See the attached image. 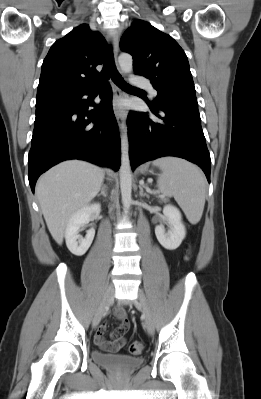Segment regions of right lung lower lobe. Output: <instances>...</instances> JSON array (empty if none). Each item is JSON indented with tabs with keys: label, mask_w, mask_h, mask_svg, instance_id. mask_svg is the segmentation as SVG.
Returning a JSON list of instances; mask_svg holds the SVG:
<instances>
[{
	"label": "right lung lower lobe",
	"mask_w": 261,
	"mask_h": 399,
	"mask_svg": "<svg viewBox=\"0 0 261 399\" xmlns=\"http://www.w3.org/2000/svg\"><path fill=\"white\" fill-rule=\"evenodd\" d=\"M89 90L79 91L36 105V118L29 152V183L34 193L38 177L67 159H82L115 171L120 166L119 131L113 113L111 87L100 93L104 106L85 112Z\"/></svg>",
	"instance_id": "98d812e1"
}]
</instances>
